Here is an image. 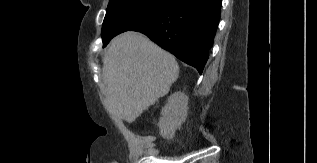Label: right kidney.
Returning <instances> with one entry per match:
<instances>
[{
  "label": "right kidney",
  "mask_w": 317,
  "mask_h": 163,
  "mask_svg": "<svg viewBox=\"0 0 317 163\" xmlns=\"http://www.w3.org/2000/svg\"><path fill=\"white\" fill-rule=\"evenodd\" d=\"M188 115V97L176 92L168 98L167 104L162 108L158 123L160 135L172 139L177 128L185 122Z\"/></svg>",
  "instance_id": "right-kidney-1"
}]
</instances>
